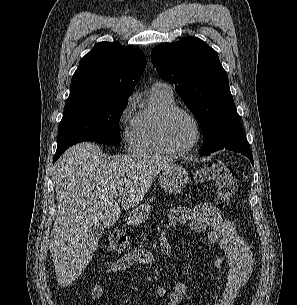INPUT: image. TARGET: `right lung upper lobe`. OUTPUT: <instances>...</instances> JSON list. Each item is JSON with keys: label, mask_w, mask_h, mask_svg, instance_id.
I'll return each mask as SVG.
<instances>
[{"label": "right lung upper lobe", "mask_w": 297, "mask_h": 305, "mask_svg": "<svg viewBox=\"0 0 297 305\" xmlns=\"http://www.w3.org/2000/svg\"><path fill=\"white\" fill-rule=\"evenodd\" d=\"M145 67L146 57L139 48L100 42L80 60L65 104L129 97Z\"/></svg>", "instance_id": "cb5924a9"}]
</instances>
